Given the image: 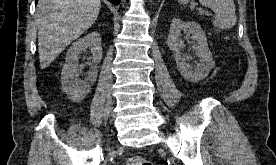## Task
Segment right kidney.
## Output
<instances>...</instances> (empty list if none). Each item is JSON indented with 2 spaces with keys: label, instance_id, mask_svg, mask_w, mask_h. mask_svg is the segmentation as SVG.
Here are the masks:
<instances>
[{
  "label": "right kidney",
  "instance_id": "right-kidney-1",
  "mask_svg": "<svg viewBox=\"0 0 276 165\" xmlns=\"http://www.w3.org/2000/svg\"><path fill=\"white\" fill-rule=\"evenodd\" d=\"M86 49H90L92 53V72L84 80H81L78 78L79 72L82 69V66L78 62V56ZM101 59V37L97 32H92L72 44L66 54L61 73L62 89L69 99L79 102L86 97L96 81L97 65Z\"/></svg>",
  "mask_w": 276,
  "mask_h": 165
}]
</instances>
